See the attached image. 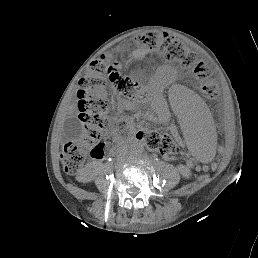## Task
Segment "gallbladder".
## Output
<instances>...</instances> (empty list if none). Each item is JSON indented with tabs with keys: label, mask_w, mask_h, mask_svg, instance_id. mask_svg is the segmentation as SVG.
Instances as JSON below:
<instances>
[{
	"label": "gallbladder",
	"mask_w": 258,
	"mask_h": 258,
	"mask_svg": "<svg viewBox=\"0 0 258 258\" xmlns=\"http://www.w3.org/2000/svg\"><path fill=\"white\" fill-rule=\"evenodd\" d=\"M64 132L69 139L75 140L85 134V129L77 118H69L64 123Z\"/></svg>",
	"instance_id": "gallbladder-1"
}]
</instances>
